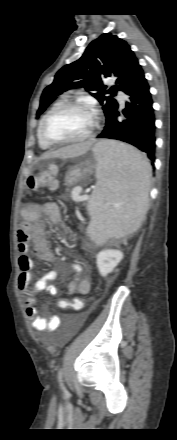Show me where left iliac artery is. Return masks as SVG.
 <instances>
[{
  "instance_id": "left-iliac-artery-1",
  "label": "left iliac artery",
  "mask_w": 177,
  "mask_h": 440,
  "mask_svg": "<svg viewBox=\"0 0 177 440\" xmlns=\"http://www.w3.org/2000/svg\"><path fill=\"white\" fill-rule=\"evenodd\" d=\"M62 369H60L59 370V373H58V380H59V383H60V386L62 387V388H64V385H63V379H62Z\"/></svg>"
}]
</instances>
